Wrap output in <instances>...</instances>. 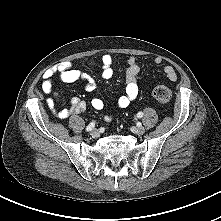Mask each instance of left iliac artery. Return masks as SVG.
I'll use <instances>...</instances> for the list:
<instances>
[{"label":"left iliac artery","instance_id":"left-iliac-artery-1","mask_svg":"<svg viewBox=\"0 0 221 221\" xmlns=\"http://www.w3.org/2000/svg\"><path fill=\"white\" fill-rule=\"evenodd\" d=\"M143 116V113L142 112H139L138 114H137V117L138 118H141Z\"/></svg>","mask_w":221,"mask_h":221}]
</instances>
